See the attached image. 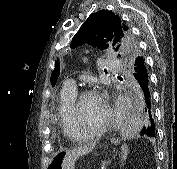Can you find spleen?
Wrapping results in <instances>:
<instances>
[{
    "instance_id": "obj_1",
    "label": "spleen",
    "mask_w": 177,
    "mask_h": 169,
    "mask_svg": "<svg viewBox=\"0 0 177 169\" xmlns=\"http://www.w3.org/2000/svg\"><path fill=\"white\" fill-rule=\"evenodd\" d=\"M128 155V146L126 144L122 145V152H121V158L122 160H125Z\"/></svg>"
}]
</instances>
